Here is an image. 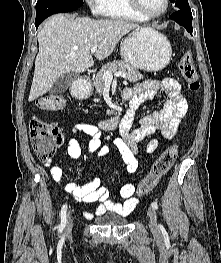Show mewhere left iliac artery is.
Segmentation results:
<instances>
[{
  "mask_svg": "<svg viewBox=\"0 0 221 263\" xmlns=\"http://www.w3.org/2000/svg\"><path fill=\"white\" fill-rule=\"evenodd\" d=\"M151 206H152L154 209H158V204H157V202H152Z\"/></svg>",
  "mask_w": 221,
  "mask_h": 263,
  "instance_id": "left-iliac-artery-1",
  "label": "left iliac artery"
}]
</instances>
